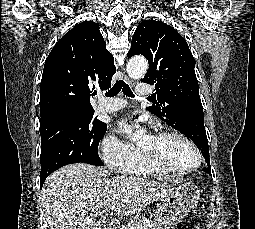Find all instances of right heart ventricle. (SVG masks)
<instances>
[{
  "label": "right heart ventricle",
  "mask_w": 255,
  "mask_h": 229,
  "mask_svg": "<svg viewBox=\"0 0 255 229\" xmlns=\"http://www.w3.org/2000/svg\"><path fill=\"white\" fill-rule=\"evenodd\" d=\"M122 171L131 175L173 177L152 165L140 150L137 156L123 167Z\"/></svg>",
  "instance_id": "obj_1"
}]
</instances>
